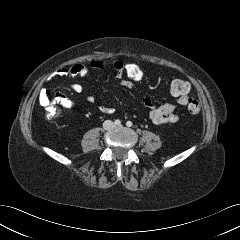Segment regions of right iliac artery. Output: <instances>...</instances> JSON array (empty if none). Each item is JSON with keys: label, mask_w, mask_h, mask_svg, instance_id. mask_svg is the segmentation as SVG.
<instances>
[{"label": "right iliac artery", "mask_w": 240, "mask_h": 240, "mask_svg": "<svg viewBox=\"0 0 240 240\" xmlns=\"http://www.w3.org/2000/svg\"><path fill=\"white\" fill-rule=\"evenodd\" d=\"M114 124L119 126L121 124V121L119 119H117V120L114 121Z\"/></svg>", "instance_id": "obj_1"}]
</instances>
